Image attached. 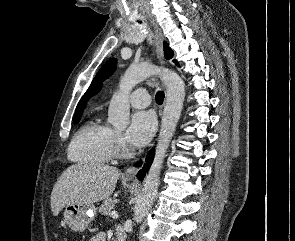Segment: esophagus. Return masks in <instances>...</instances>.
I'll return each mask as SVG.
<instances>
[{"mask_svg": "<svg viewBox=\"0 0 295 241\" xmlns=\"http://www.w3.org/2000/svg\"><path fill=\"white\" fill-rule=\"evenodd\" d=\"M151 24L155 32L158 59L160 64L164 65L165 60H164V52H163V36L161 32L159 31L158 26L153 21H151ZM138 171H139L138 167L131 166L123 173V177L128 179H133L136 176Z\"/></svg>", "mask_w": 295, "mask_h": 241, "instance_id": "1", "label": "esophagus"}]
</instances>
